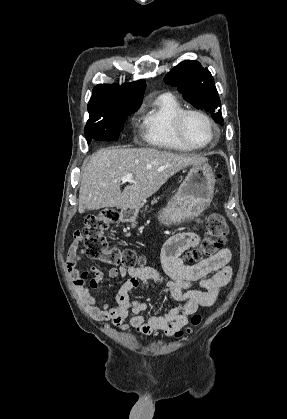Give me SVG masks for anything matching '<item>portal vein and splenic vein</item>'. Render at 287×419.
I'll return each instance as SVG.
<instances>
[{"label":"portal vein and splenic vein","mask_w":287,"mask_h":419,"mask_svg":"<svg viewBox=\"0 0 287 419\" xmlns=\"http://www.w3.org/2000/svg\"><path fill=\"white\" fill-rule=\"evenodd\" d=\"M122 182H132L133 181V174L129 173L121 177Z\"/></svg>","instance_id":"obj_1"}]
</instances>
